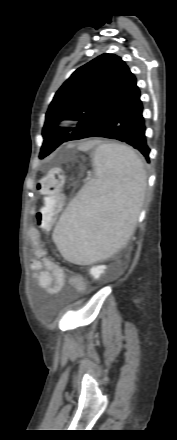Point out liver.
Listing matches in <instances>:
<instances>
[{
	"mask_svg": "<svg viewBox=\"0 0 177 440\" xmlns=\"http://www.w3.org/2000/svg\"><path fill=\"white\" fill-rule=\"evenodd\" d=\"M90 147V143H85L79 146L80 149L84 150V149H88Z\"/></svg>",
	"mask_w": 177,
	"mask_h": 440,
	"instance_id": "liver-1",
	"label": "liver"
}]
</instances>
